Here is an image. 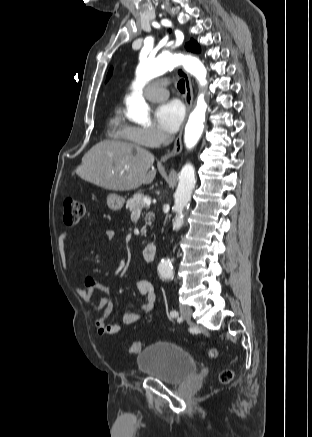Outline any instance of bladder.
<instances>
[{
  "mask_svg": "<svg viewBox=\"0 0 312 437\" xmlns=\"http://www.w3.org/2000/svg\"><path fill=\"white\" fill-rule=\"evenodd\" d=\"M140 372L149 378L176 385L197 373L195 358L182 347L167 341H157L137 356Z\"/></svg>",
  "mask_w": 312,
  "mask_h": 437,
  "instance_id": "obj_1",
  "label": "bladder"
}]
</instances>
